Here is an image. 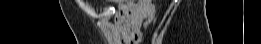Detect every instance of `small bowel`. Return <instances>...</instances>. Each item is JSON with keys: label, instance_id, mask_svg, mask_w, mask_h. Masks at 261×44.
<instances>
[{"label": "small bowel", "instance_id": "obj_1", "mask_svg": "<svg viewBox=\"0 0 261 44\" xmlns=\"http://www.w3.org/2000/svg\"><path fill=\"white\" fill-rule=\"evenodd\" d=\"M147 16V7L137 1L135 6H121L115 13L113 35L121 44H138L142 38V23Z\"/></svg>", "mask_w": 261, "mask_h": 44}]
</instances>
